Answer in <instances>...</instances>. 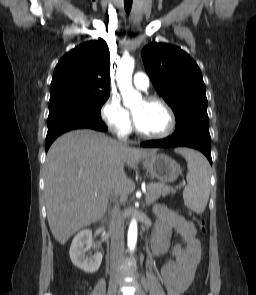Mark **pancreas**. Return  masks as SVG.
Wrapping results in <instances>:
<instances>
[{"instance_id": "cf45deb5", "label": "pancreas", "mask_w": 256, "mask_h": 295, "mask_svg": "<svg viewBox=\"0 0 256 295\" xmlns=\"http://www.w3.org/2000/svg\"><path fill=\"white\" fill-rule=\"evenodd\" d=\"M148 197L151 202H155L160 196L175 194L176 190L164 183H150L147 186Z\"/></svg>"}]
</instances>
